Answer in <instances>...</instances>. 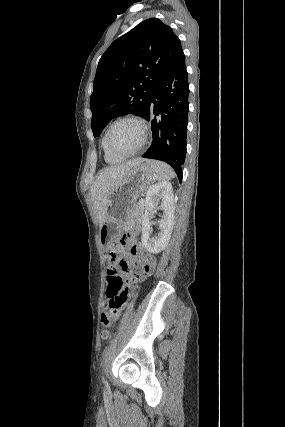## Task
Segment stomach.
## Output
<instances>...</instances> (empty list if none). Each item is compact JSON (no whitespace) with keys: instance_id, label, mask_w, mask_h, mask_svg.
I'll use <instances>...</instances> for the list:
<instances>
[{"instance_id":"0dacf381","label":"stomach","mask_w":285,"mask_h":427,"mask_svg":"<svg viewBox=\"0 0 285 427\" xmlns=\"http://www.w3.org/2000/svg\"><path fill=\"white\" fill-rule=\"evenodd\" d=\"M155 173L147 163L134 166L127 177L108 197L105 221L100 227V243L107 245L133 213L136 199L155 180Z\"/></svg>"}]
</instances>
